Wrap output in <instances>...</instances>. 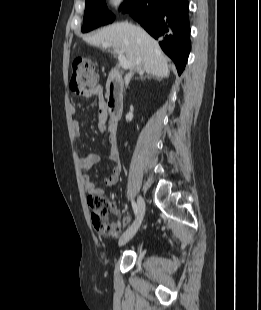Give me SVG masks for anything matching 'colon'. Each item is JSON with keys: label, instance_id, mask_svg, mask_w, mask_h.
<instances>
[{"label": "colon", "instance_id": "obj_1", "mask_svg": "<svg viewBox=\"0 0 261 310\" xmlns=\"http://www.w3.org/2000/svg\"><path fill=\"white\" fill-rule=\"evenodd\" d=\"M98 80V75L91 61L85 57H77L72 63L70 88L78 93L93 88ZM88 206L91 210V220L98 233L105 237L116 235L120 223L113 215L112 203L102 195H89Z\"/></svg>", "mask_w": 261, "mask_h": 310}]
</instances>
